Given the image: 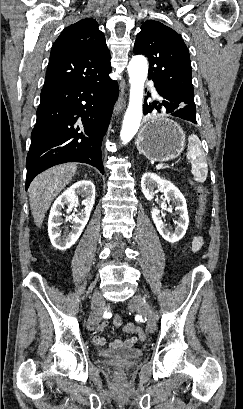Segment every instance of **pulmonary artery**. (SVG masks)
<instances>
[{
	"label": "pulmonary artery",
	"instance_id": "pulmonary-artery-1",
	"mask_svg": "<svg viewBox=\"0 0 243 409\" xmlns=\"http://www.w3.org/2000/svg\"><path fill=\"white\" fill-rule=\"evenodd\" d=\"M152 93L155 97H158V93L155 88L152 87Z\"/></svg>",
	"mask_w": 243,
	"mask_h": 409
}]
</instances>
